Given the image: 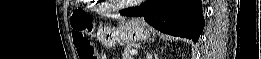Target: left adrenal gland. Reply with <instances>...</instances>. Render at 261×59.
I'll return each instance as SVG.
<instances>
[{"label": "left adrenal gland", "mask_w": 261, "mask_h": 59, "mask_svg": "<svg viewBox=\"0 0 261 59\" xmlns=\"http://www.w3.org/2000/svg\"><path fill=\"white\" fill-rule=\"evenodd\" d=\"M146 56H147V59H152V54L147 53Z\"/></svg>", "instance_id": "1"}]
</instances>
